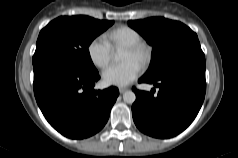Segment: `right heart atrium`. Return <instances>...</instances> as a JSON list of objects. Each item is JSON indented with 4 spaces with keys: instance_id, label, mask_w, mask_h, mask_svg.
<instances>
[{
    "instance_id": "obj_1",
    "label": "right heart atrium",
    "mask_w": 238,
    "mask_h": 158,
    "mask_svg": "<svg viewBox=\"0 0 238 158\" xmlns=\"http://www.w3.org/2000/svg\"><path fill=\"white\" fill-rule=\"evenodd\" d=\"M87 53L96 67L104 68L111 60L112 48L105 37L97 36L89 42Z\"/></svg>"
}]
</instances>
